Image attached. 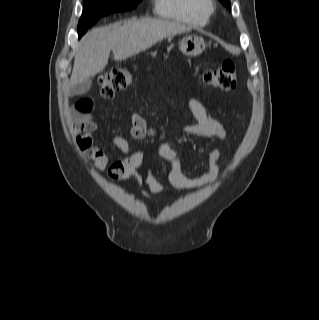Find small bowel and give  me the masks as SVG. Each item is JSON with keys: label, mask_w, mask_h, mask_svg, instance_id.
<instances>
[{"label": "small bowel", "mask_w": 319, "mask_h": 320, "mask_svg": "<svg viewBox=\"0 0 319 320\" xmlns=\"http://www.w3.org/2000/svg\"><path fill=\"white\" fill-rule=\"evenodd\" d=\"M187 105L196 120V124L186 127L184 130L185 134L200 138H217L222 140L227 138L228 130L226 126L210 118L199 100L191 98L188 100ZM92 106L93 103L90 99L85 98L80 100L77 104L76 112L73 113L71 126L77 148L86 157L94 161L95 171L101 173L107 169L111 160L105 148L96 146L93 143V132L97 129V124L93 121L91 114ZM130 120V133L133 138L141 139L153 133V130L149 128L146 121L139 114L135 112L131 113ZM111 146L127 154L122 160L116 161L122 164V168L113 173L110 171L112 178L128 181L135 186L144 183L148 190H140L138 192V195L144 200H149L151 195L175 194L173 189L163 185L156 178L152 170L146 166L145 153L141 150L132 151L125 137L121 135L113 136L111 138ZM157 153L161 159L169 164V180L177 190H191L212 185L218 180L220 172L218 163L222 158V153L218 149H213L208 153V170L198 177H189L183 173L177 152L168 143H160ZM140 167L145 168L144 177H141L136 172Z\"/></svg>", "instance_id": "small-bowel-1"}]
</instances>
